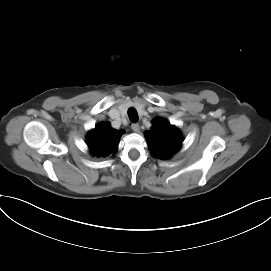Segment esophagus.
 <instances>
[{
    "instance_id": "obj_1",
    "label": "esophagus",
    "mask_w": 271,
    "mask_h": 271,
    "mask_svg": "<svg viewBox=\"0 0 271 271\" xmlns=\"http://www.w3.org/2000/svg\"><path fill=\"white\" fill-rule=\"evenodd\" d=\"M131 128L134 132H138L139 131V124L138 123H133L131 125Z\"/></svg>"
}]
</instances>
